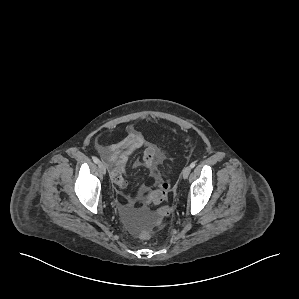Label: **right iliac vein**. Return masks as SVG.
<instances>
[{
    "label": "right iliac vein",
    "mask_w": 299,
    "mask_h": 299,
    "mask_svg": "<svg viewBox=\"0 0 299 299\" xmlns=\"http://www.w3.org/2000/svg\"><path fill=\"white\" fill-rule=\"evenodd\" d=\"M98 168H99V170H100V172H101L102 174H105V173H106V166H105L104 163L99 162V163H98Z\"/></svg>",
    "instance_id": "right-iliac-vein-1"
}]
</instances>
